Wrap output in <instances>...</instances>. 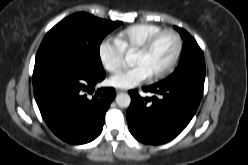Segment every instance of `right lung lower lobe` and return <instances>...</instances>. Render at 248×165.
I'll return each instance as SVG.
<instances>
[{
	"mask_svg": "<svg viewBox=\"0 0 248 165\" xmlns=\"http://www.w3.org/2000/svg\"><path fill=\"white\" fill-rule=\"evenodd\" d=\"M105 78L75 56H57L35 64L33 89L40 113L60 139L85 144L102 131L105 114L115 98L114 88L94 86Z\"/></svg>",
	"mask_w": 248,
	"mask_h": 165,
	"instance_id": "obj_1",
	"label": "right lung lower lobe"
}]
</instances>
